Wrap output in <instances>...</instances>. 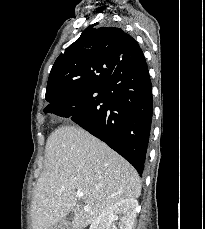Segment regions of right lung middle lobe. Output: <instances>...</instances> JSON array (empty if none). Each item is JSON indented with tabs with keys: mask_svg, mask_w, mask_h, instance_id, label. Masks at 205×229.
<instances>
[{
	"mask_svg": "<svg viewBox=\"0 0 205 229\" xmlns=\"http://www.w3.org/2000/svg\"><path fill=\"white\" fill-rule=\"evenodd\" d=\"M109 78V75L97 76L93 79V85L106 81Z\"/></svg>",
	"mask_w": 205,
	"mask_h": 229,
	"instance_id": "right-lung-middle-lobe-1",
	"label": "right lung middle lobe"
}]
</instances>
